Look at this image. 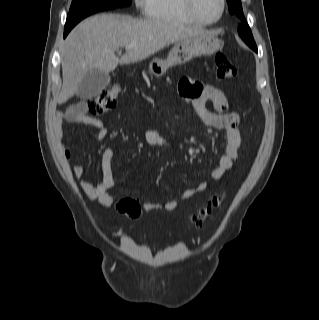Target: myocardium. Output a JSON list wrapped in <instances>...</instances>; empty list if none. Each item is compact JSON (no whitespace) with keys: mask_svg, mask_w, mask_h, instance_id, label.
I'll return each instance as SVG.
<instances>
[{"mask_svg":"<svg viewBox=\"0 0 319 320\" xmlns=\"http://www.w3.org/2000/svg\"><path fill=\"white\" fill-rule=\"evenodd\" d=\"M184 2V7L185 10L188 14V16L196 23L200 25H214L218 23L224 16L225 11H226V0H220L221 2V8H220V13L217 18L214 20H205L202 19L196 12L195 9V0H183Z\"/></svg>","mask_w":319,"mask_h":320,"instance_id":"obj_1","label":"myocardium"}]
</instances>
